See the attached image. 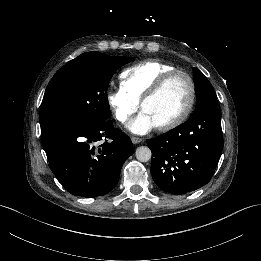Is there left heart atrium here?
<instances>
[{"instance_id": "1", "label": "left heart atrium", "mask_w": 261, "mask_h": 261, "mask_svg": "<svg viewBox=\"0 0 261 261\" xmlns=\"http://www.w3.org/2000/svg\"><path fill=\"white\" fill-rule=\"evenodd\" d=\"M155 127L156 123L145 111H141L139 115L128 126L131 132L138 135L146 134Z\"/></svg>"}]
</instances>
